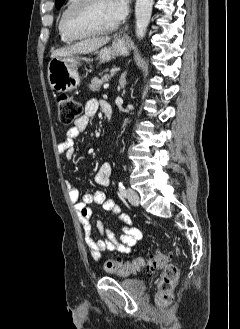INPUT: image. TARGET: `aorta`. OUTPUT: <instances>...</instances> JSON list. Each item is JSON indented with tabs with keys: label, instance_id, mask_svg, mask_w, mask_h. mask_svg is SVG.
<instances>
[{
	"label": "aorta",
	"instance_id": "762f6f07",
	"mask_svg": "<svg viewBox=\"0 0 240 329\" xmlns=\"http://www.w3.org/2000/svg\"><path fill=\"white\" fill-rule=\"evenodd\" d=\"M153 0H136L135 18H136V36L143 39L146 34L152 14Z\"/></svg>",
	"mask_w": 240,
	"mask_h": 329
}]
</instances>
